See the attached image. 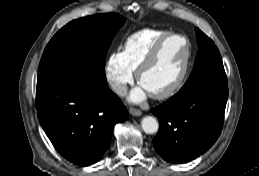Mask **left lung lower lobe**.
I'll return each instance as SVG.
<instances>
[{
    "instance_id": "obj_1",
    "label": "left lung lower lobe",
    "mask_w": 259,
    "mask_h": 176,
    "mask_svg": "<svg viewBox=\"0 0 259 176\" xmlns=\"http://www.w3.org/2000/svg\"><path fill=\"white\" fill-rule=\"evenodd\" d=\"M227 99V83L205 81L151 109L160 123L153 139L156 152L173 163L189 162L206 152L221 133Z\"/></svg>"
}]
</instances>
